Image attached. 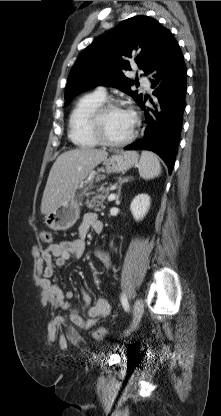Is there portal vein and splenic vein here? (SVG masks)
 I'll return each mask as SVG.
<instances>
[{
	"label": "portal vein and splenic vein",
	"instance_id": "portal-vein-and-splenic-vein-1",
	"mask_svg": "<svg viewBox=\"0 0 221 416\" xmlns=\"http://www.w3.org/2000/svg\"><path fill=\"white\" fill-rule=\"evenodd\" d=\"M115 198H116V194L111 193V194L108 196V201H113Z\"/></svg>",
	"mask_w": 221,
	"mask_h": 416
}]
</instances>
